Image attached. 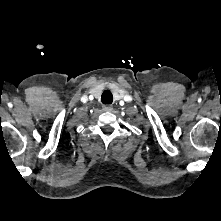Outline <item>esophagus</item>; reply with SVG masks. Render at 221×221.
<instances>
[{"label":"esophagus","mask_w":221,"mask_h":221,"mask_svg":"<svg viewBox=\"0 0 221 221\" xmlns=\"http://www.w3.org/2000/svg\"><path fill=\"white\" fill-rule=\"evenodd\" d=\"M112 109H113V107L111 105H104L103 106L104 111H111Z\"/></svg>","instance_id":"34e87169"}]
</instances>
